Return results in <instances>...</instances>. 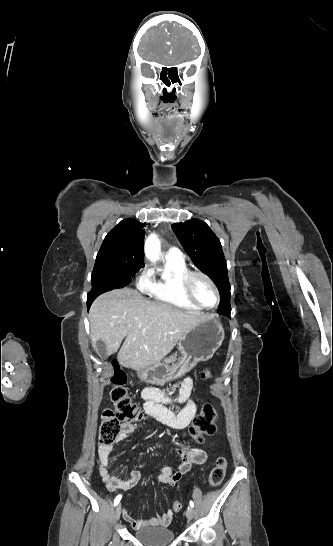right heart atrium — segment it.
Here are the masks:
<instances>
[{"label":"right heart atrium","mask_w":333,"mask_h":546,"mask_svg":"<svg viewBox=\"0 0 333 546\" xmlns=\"http://www.w3.org/2000/svg\"><path fill=\"white\" fill-rule=\"evenodd\" d=\"M135 285L142 293L153 294L156 286L153 270L147 266L143 267L136 277Z\"/></svg>","instance_id":"obj_1"}]
</instances>
